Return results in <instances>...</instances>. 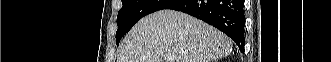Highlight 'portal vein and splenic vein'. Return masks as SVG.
<instances>
[{"label": "portal vein and splenic vein", "instance_id": "18ae733b", "mask_svg": "<svg viewBox=\"0 0 331 62\" xmlns=\"http://www.w3.org/2000/svg\"><path fill=\"white\" fill-rule=\"evenodd\" d=\"M165 59H166L168 62H173V61H174V56H172V55H168Z\"/></svg>", "mask_w": 331, "mask_h": 62}]
</instances>
